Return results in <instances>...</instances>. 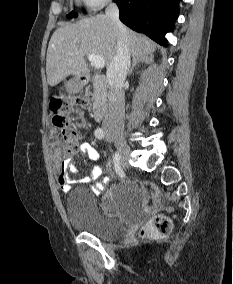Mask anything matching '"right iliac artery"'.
<instances>
[{"label":"right iliac artery","instance_id":"right-iliac-artery-1","mask_svg":"<svg viewBox=\"0 0 233 284\" xmlns=\"http://www.w3.org/2000/svg\"><path fill=\"white\" fill-rule=\"evenodd\" d=\"M94 134H95L96 138H98V139H102L105 136V132H104V130L102 128H97L95 130ZM115 157H120V156H119V154L116 153ZM115 168H120V167H115Z\"/></svg>","mask_w":233,"mask_h":284}]
</instances>
